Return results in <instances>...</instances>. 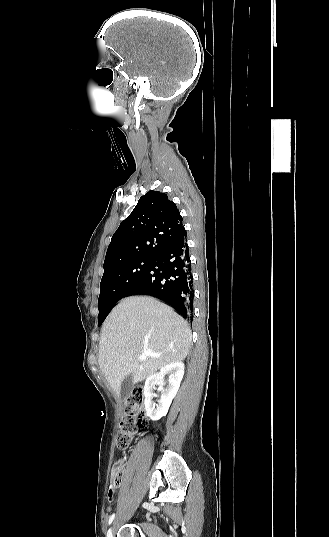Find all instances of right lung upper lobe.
Returning <instances> with one entry per match:
<instances>
[{"instance_id": "1", "label": "right lung upper lobe", "mask_w": 329, "mask_h": 537, "mask_svg": "<svg viewBox=\"0 0 329 537\" xmlns=\"http://www.w3.org/2000/svg\"><path fill=\"white\" fill-rule=\"evenodd\" d=\"M176 204L158 191L142 196L121 222L108 246L104 269L141 258H153L185 233Z\"/></svg>"}]
</instances>
